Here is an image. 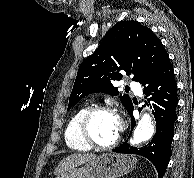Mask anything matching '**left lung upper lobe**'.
<instances>
[{
    "label": "left lung upper lobe",
    "instance_id": "1",
    "mask_svg": "<svg viewBox=\"0 0 194 178\" xmlns=\"http://www.w3.org/2000/svg\"><path fill=\"white\" fill-rule=\"evenodd\" d=\"M168 57L167 51L153 31L137 21H121L110 29L96 51L80 65L70 95L68 110L84 96L94 92L118 95L113 80L122 73L133 74V81L142 82L152 75ZM128 110L132 101L120 97Z\"/></svg>",
    "mask_w": 194,
    "mask_h": 178
}]
</instances>
